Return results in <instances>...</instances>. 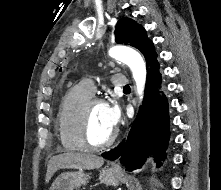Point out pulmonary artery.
<instances>
[{"mask_svg":"<svg viewBox=\"0 0 221 190\" xmlns=\"http://www.w3.org/2000/svg\"><path fill=\"white\" fill-rule=\"evenodd\" d=\"M111 80H112V84H113L114 86H117V87H125L126 85H128V80H127L126 76L123 75V74H119V73L114 74V75L112 76V79H111ZM82 86H83L91 95H93L94 92H95V90H96L95 85H94L92 79H90V78L85 79V80L82 82Z\"/></svg>","mask_w":221,"mask_h":190,"instance_id":"pulmonary-artery-1","label":"pulmonary artery"}]
</instances>
